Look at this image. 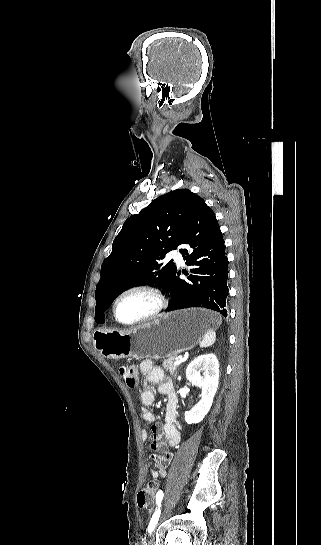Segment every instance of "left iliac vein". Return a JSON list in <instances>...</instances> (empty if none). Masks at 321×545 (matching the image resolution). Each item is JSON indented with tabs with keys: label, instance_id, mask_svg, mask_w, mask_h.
Instances as JSON below:
<instances>
[{
	"label": "left iliac vein",
	"instance_id": "1",
	"mask_svg": "<svg viewBox=\"0 0 321 545\" xmlns=\"http://www.w3.org/2000/svg\"><path fill=\"white\" fill-rule=\"evenodd\" d=\"M172 506V501H169L165 507L163 508L162 510V513H161V516H160V520L159 522L164 518V516L168 513V511L170 510ZM147 545H153V538H151L148 542H147Z\"/></svg>",
	"mask_w": 321,
	"mask_h": 545
}]
</instances>
